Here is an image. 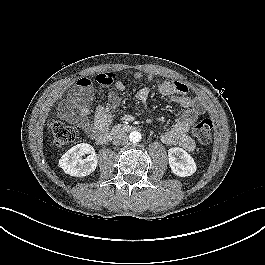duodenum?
<instances>
[{"label": "duodenum", "mask_w": 265, "mask_h": 265, "mask_svg": "<svg viewBox=\"0 0 265 265\" xmlns=\"http://www.w3.org/2000/svg\"><path fill=\"white\" fill-rule=\"evenodd\" d=\"M137 127L132 124H119L113 128H105L103 131H99L93 135L96 142L100 145H104L108 143L110 140H112L117 135H120L122 133H129L136 131Z\"/></svg>", "instance_id": "410a0bca"}]
</instances>
